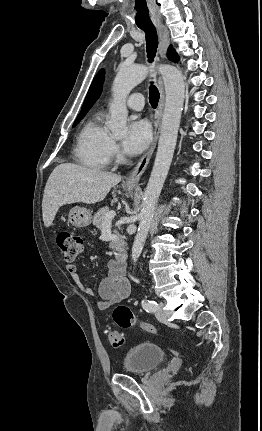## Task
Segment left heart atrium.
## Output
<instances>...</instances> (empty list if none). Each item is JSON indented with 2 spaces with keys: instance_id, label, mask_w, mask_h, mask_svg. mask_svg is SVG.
Returning <instances> with one entry per match:
<instances>
[{
  "instance_id": "39dd6f15",
  "label": "left heart atrium",
  "mask_w": 262,
  "mask_h": 431,
  "mask_svg": "<svg viewBox=\"0 0 262 431\" xmlns=\"http://www.w3.org/2000/svg\"><path fill=\"white\" fill-rule=\"evenodd\" d=\"M151 140V128L146 120L133 119L128 127L123 149L129 155L140 154Z\"/></svg>"
}]
</instances>
